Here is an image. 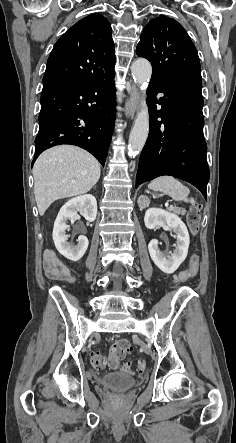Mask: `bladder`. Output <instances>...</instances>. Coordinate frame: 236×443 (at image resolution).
<instances>
[{
	"instance_id": "obj_1",
	"label": "bladder",
	"mask_w": 236,
	"mask_h": 443,
	"mask_svg": "<svg viewBox=\"0 0 236 443\" xmlns=\"http://www.w3.org/2000/svg\"><path fill=\"white\" fill-rule=\"evenodd\" d=\"M136 383L137 380L135 377L123 372L107 373L101 378V384L107 387L115 385L133 386Z\"/></svg>"
}]
</instances>
